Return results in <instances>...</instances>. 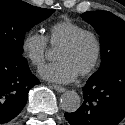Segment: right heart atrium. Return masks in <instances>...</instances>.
I'll use <instances>...</instances> for the list:
<instances>
[{"instance_id": "obj_1", "label": "right heart atrium", "mask_w": 125, "mask_h": 125, "mask_svg": "<svg viewBox=\"0 0 125 125\" xmlns=\"http://www.w3.org/2000/svg\"><path fill=\"white\" fill-rule=\"evenodd\" d=\"M47 46L44 35L30 31L22 39L21 51L33 67L40 68L46 59Z\"/></svg>"}]
</instances>
